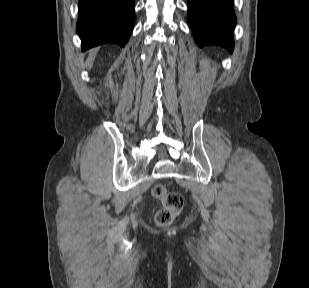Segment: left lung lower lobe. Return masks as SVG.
I'll use <instances>...</instances> for the list:
<instances>
[{
    "instance_id": "0a47b994",
    "label": "left lung lower lobe",
    "mask_w": 309,
    "mask_h": 288,
    "mask_svg": "<svg viewBox=\"0 0 309 288\" xmlns=\"http://www.w3.org/2000/svg\"><path fill=\"white\" fill-rule=\"evenodd\" d=\"M188 18L200 47L219 45L233 52V0H188Z\"/></svg>"
}]
</instances>
